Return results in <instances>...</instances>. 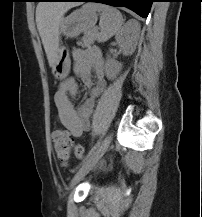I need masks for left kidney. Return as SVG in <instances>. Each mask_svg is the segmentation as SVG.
I'll return each instance as SVG.
<instances>
[{
  "mask_svg": "<svg viewBox=\"0 0 202 217\" xmlns=\"http://www.w3.org/2000/svg\"><path fill=\"white\" fill-rule=\"evenodd\" d=\"M140 25L137 21L130 20L117 33L116 41L125 56L132 55L136 49L139 37ZM122 69V64L107 57L105 73L108 79H114Z\"/></svg>",
  "mask_w": 202,
  "mask_h": 217,
  "instance_id": "5707ae66",
  "label": "left kidney"
}]
</instances>
